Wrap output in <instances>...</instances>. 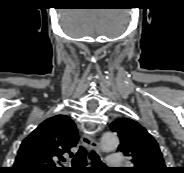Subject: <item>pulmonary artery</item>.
Returning <instances> with one entry per match:
<instances>
[{"mask_svg":"<svg viewBox=\"0 0 184 173\" xmlns=\"http://www.w3.org/2000/svg\"><path fill=\"white\" fill-rule=\"evenodd\" d=\"M106 164L108 167L120 168L123 165L121 154H110L107 156Z\"/></svg>","mask_w":184,"mask_h":173,"instance_id":"1","label":"pulmonary artery"}]
</instances>
